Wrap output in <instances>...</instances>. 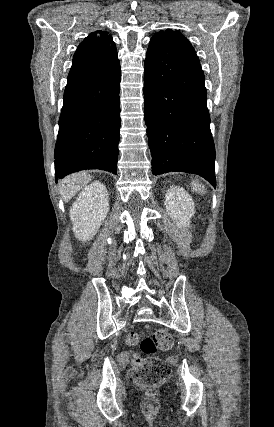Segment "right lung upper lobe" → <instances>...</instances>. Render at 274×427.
Masks as SVG:
<instances>
[{
	"mask_svg": "<svg viewBox=\"0 0 274 427\" xmlns=\"http://www.w3.org/2000/svg\"><path fill=\"white\" fill-rule=\"evenodd\" d=\"M118 61L112 37L104 31L93 32L77 48L68 81L98 74Z\"/></svg>",
	"mask_w": 274,
	"mask_h": 427,
	"instance_id": "right-lung-upper-lobe-1",
	"label": "right lung upper lobe"
}]
</instances>
